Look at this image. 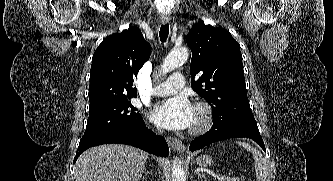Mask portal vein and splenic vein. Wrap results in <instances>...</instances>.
<instances>
[{
  "mask_svg": "<svg viewBox=\"0 0 333 181\" xmlns=\"http://www.w3.org/2000/svg\"><path fill=\"white\" fill-rule=\"evenodd\" d=\"M217 180H218V181H224V180H225V176L217 177Z\"/></svg>",
  "mask_w": 333,
  "mask_h": 181,
  "instance_id": "portal-vein-and-splenic-vein-1",
  "label": "portal vein and splenic vein"
}]
</instances>
